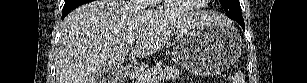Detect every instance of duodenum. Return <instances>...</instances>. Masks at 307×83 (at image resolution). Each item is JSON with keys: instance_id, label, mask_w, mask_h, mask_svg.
<instances>
[{"instance_id": "1", "label": "duodenum", "mask_w": 307, "mask_h": 83, "mask_svg": "<svg viewBox=\"0 0 307 83\" xmlns=\"http://www.w3.org/2000/svg\"><path fill=\"white\" fill-rule=\"evenodd\" d=\"M127 73H128V74H134V73H135V70H133L132 67H128V68H127Z\"/></svg>"}]
</instances>
